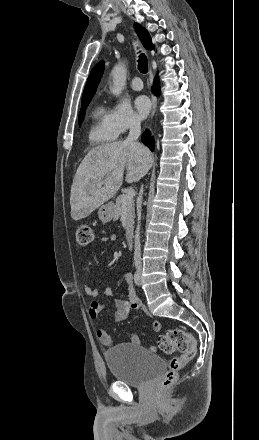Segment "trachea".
<instances>
[{
  "instance_id": "1",
  "label": "trachea",
  "mask_w": 259,
  "mask_h": 440,
  "mask_svg": "<svg viewBox=\"0 0 259 440\" xmlns=\"http://www.w3.org/2000/svg\"><path fill=\"white\" fill-rule=\"evenodd\" d=\"M138 59V70L141 73H147L148 72V61L147 58L141 54Z\"/></svg>"
}]
</instances>
